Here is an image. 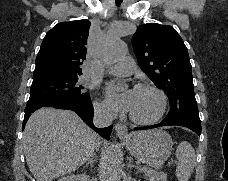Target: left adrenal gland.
Instances as JSON below:
<instances>
[{"mask_svg":"<svg viewBox=\"0 0 228 181\" xmlns=\"http://www.w3.org/2000/svg\"><path fill=\"white\" fill-rule=\"evenodd\" d=\"M126 169H136L135 165H133L132 157H131V159H129V163H128Z\"/></svg>","mask_w":228,"mask_h":181,"instance_id":"a2214340","label":"left adrenal gland"}]
</instances>
